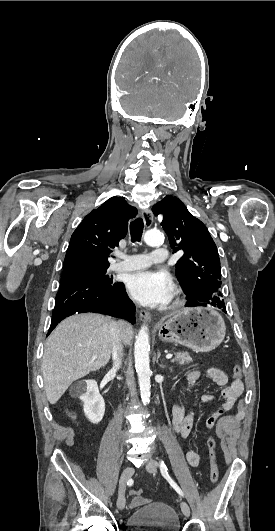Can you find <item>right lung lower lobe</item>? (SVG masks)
I'll return each mask as SVG.
<instances>
[{
  "mask_svg": "<svg viewBox=\"0 0 275 531\" xmlns=\"http://www.w3.org/2000/svg\"><path fill=\"white\" fill-rule=\"evenodd\" d=\"M94 312L135 323V305L121 282L100 284L85 278L61 280L47 336L64 318L75 313Z\"/></svg>",
  "mask_w": 275,
  "mask_h": 531,
  "instance_id": "right-lung-lower-lobe-1",
  "label": "right lung lower lobe"
}]
</instances>
